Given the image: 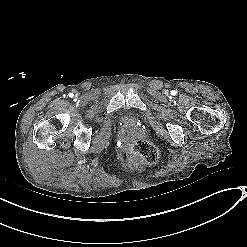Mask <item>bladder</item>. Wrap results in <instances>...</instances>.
Instances as JSON below:
<instances>
[{
	"label": "bladder",
	"mask_w": 247,
	"mask_h": 247,
	"mask_svg": "<svg viewBox=\"0 0 247 247\" xmlns=\"http://www.w3.org/2000/svg\"><path fill=\"white\" fill-rule=\"evenodd\" d=\"M117 116L120 120L121 125H128L130 123H135L138 120H140L136 112L135 113L134 112L132 113L131 112H118Z\"/></svg>",
	"instance_id": "bladder-1"
}]
</instances>
